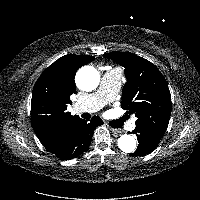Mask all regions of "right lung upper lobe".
<instances>
[{"mask_svg":"<svg viewBox=\"0 0 200 200\" xmlns=\"http://www.w3.org/2000/svg\"><path fill=\"white\" fill-rule=\"evenodd\" d=\"M93 56L65 55L51 64L37 80L31 99V123L41 141L47 144L57 132L79 119L67 112L70 96L75 93V73L92 62Z\"/></svg>","mask_w":200,"mask_h":200,"instance_id":"obj_1","label":"right lung upper lobe"}]
</instances>
